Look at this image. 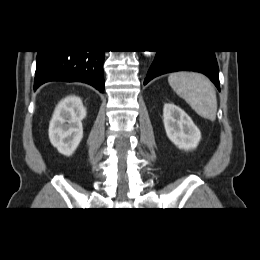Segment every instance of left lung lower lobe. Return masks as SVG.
Masks as SVG:
<instances>
[{
  "mask_svg": "<svg viewBox=\"0 0 260 260\" xmlns=\"http://www.w3.org/2000/svg\"><path fill=\"white\" fill-rule=\"evenodd\" d=\"M176 71H196L203 73L209 77L220 91L219 70L214 51H157L144 80V85L159 75Z\"/></svg>",
  "mask_w": 260,
  "mask_h": 260,
  "instance_id": "obj_1",
  "label": "left lung lower lobe"
}]
</instances>
